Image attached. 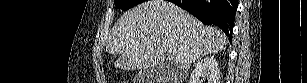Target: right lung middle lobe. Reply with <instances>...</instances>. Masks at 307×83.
<instances>
[{"instance_id":"dd1d6c3e","label":"right lung middle lobe","mask_w":307,"mask_h":83,"mask_svg":"<svg viewBox=\"0 0 307 83\" xmlns=\"http://www.w3.org/2000/svg\"><path fill=\"white\" fill-rule=\"evenodd\" d=\"M142 2H144V0H115L114 4L118 9H122L123 11H125Z\"/></svg>"}]
</instances>
